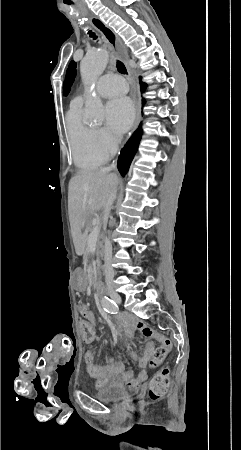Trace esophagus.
<instances>
[{"instance_id":"obj_1","label":"esophagus","mask_w":241,"mask_h":450,"mask_svg":"<svg viewBox=\"0 0 241 450\" xmlns=\"http://www.w3.org/2000/svg\"><path fill=\"white\" fill-rule=\"evenodd\" d=\"M90 22L101 34L102 38L104 39L110 50L113 52V54L116 56L121 54L123 60L127 63L128 62L127 52L124 49L122 50L120 48L119 37L116 35V33L110 27H108V25L105 22H103V20H101L97 16H92L90 18ZM130 73L132 74L131 69ZM132 95H133L134 109L136 113V119L131 129V131L134 132L141 120V99L138 93V88L136 86L133 87Z\"/></svg>"}]
</instances>
